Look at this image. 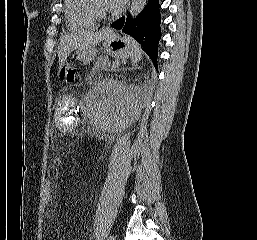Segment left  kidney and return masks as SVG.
Listing matches in <instances>:
<instances>
[{
  "instance_id": "obj_1",
  "label": "left kidney",
  "mask_w": 257,
  "mask_h": 240,
  "mask_svg": "<svg viewBox=\"0 0 257 240\" xmlns=\"http://www.w3.org/2000/svg\"><path fill=\"white\" fill-rule=\"evenodd\" d=\"M95 105L98 121L112 132L128 126L138 118L140 111L132 86L118 80L100 84Z\"/></svg>"
}]
</instances>
